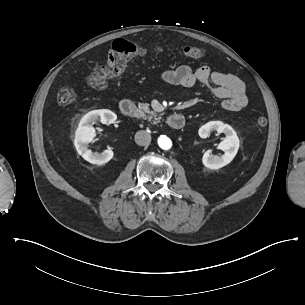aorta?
<instances>
[{
    "mask_svg": "<svg viewBox=\"0 0 305 305\" xmlns=\"http://www.w3.org/2000/svg\"><path fill=\"white\" fill-rule=\"evenodd\" d=\"M158 145L163 150H169L172 147V141L165 135H161L158 138Z\"/></svg>",
    "mask_w": 305,
    "mask_h": 305,
    "instance_id": "aorta-1",
    "label": "aorta"
}]
</instances>
